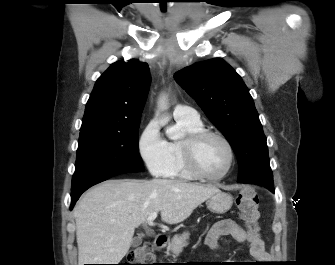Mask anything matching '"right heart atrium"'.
<instances>
[{"mask_svg":"<svg viewBox=\"0 0 335 265\" xmlns=\"http://www.w3.org/2000/svg\"><path fill=\"white\" fill-rule=\"evenodd\" d=\"M139 154L150 173L164 176L171 164L169 142L160 131L159 124L150 120L140 134L138 140Z\"/></svg>","mask_w":335,"mask_h":265,"instance_id":"1","label":"right heart atrium"}]
</instances>
